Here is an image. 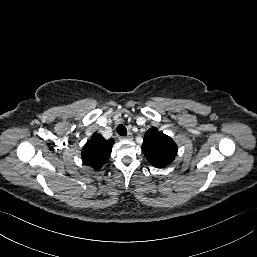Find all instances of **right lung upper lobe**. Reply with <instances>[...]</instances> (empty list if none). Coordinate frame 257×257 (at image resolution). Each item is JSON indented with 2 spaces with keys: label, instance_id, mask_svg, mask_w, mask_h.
Listing matches in <instances>:
<instances>
[{
  "label": "right lung upper lobe",
  "instance_id": "right-lung-upper-lobe-1",
  "mask_svg": "<svg viewBox=\"0 0 257 257\" xmlns=\"http://www.w3.org/2000/svg\"><path fill=\"white\" fill-rule=\"evenodd\" d=\"M113 140H106L100 134L94 133L82 149L83 163L95 170L101 169L111 154Z\"/></svg>",
  "mask_w": 257,
  "mask_h": 257
}]
</instances>
